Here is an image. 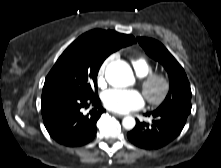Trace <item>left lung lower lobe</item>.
Returning <instances> with one entry per match:
<instances>
[{"instance_id": "obj_1", "label": "left lung lower lobe", "mask_w": 221, "mask_h": 168, "mask_svg": "<svg viewBox=\"0 0 221 168\" xmlns=\"http://www.w3.org/2000/svg\"><path fill=\"white\" fill-rule=\"evenodd\" d=\"M190 112L170 109L145 113V116H153L152 124L136 120V126L127 133V137L134 145L143 149L161 148L181 133Z\"/></svg>"}]
</instances>
